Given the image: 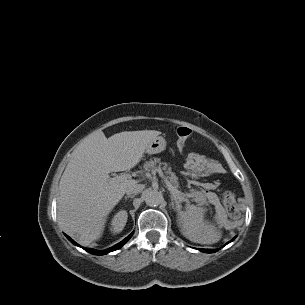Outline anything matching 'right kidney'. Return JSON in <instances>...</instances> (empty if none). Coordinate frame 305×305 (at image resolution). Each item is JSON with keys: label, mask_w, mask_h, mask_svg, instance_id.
<instances>
[{"label": "right kidney", "mask_w": 305, "mask_h": 305, "mask_svg": "<svg viewBox=\"0 0 305 305\" xmlns=\"http://www.w3.org/2000/svg\"><path fill=\"white\" fill-rule=\"evenodd\" d=\"M127 218H128V215L125 210H121V211L117 212L111 220L110 231L113 234L120 233L126 225Z\"/></svg>", "instance_id": "right-kidney-1"}]
</instances>
